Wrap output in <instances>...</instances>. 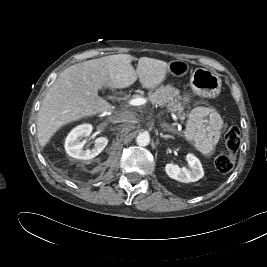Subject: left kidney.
Wrapping results in <instances>:
<instances>
[{"instance_id": "5707ae66", "label": "left kidney", "mask_w": 267, "mask_h": 267, "mask_svg": "<svg viewBox=\"0 0 267 267\" xmlns=\"http://www.w3.org/2000/svg\"><path fill=\"white\" fill-rule=\"evenodd\" d=\"M186 160L190 166V169L185 167L180 168L176 164H166L165 171L167 175L177 181L183 183L195 182L204 176V170L202 168L200 160L193 154H187Z\"/></svg>"}]
</instances>
